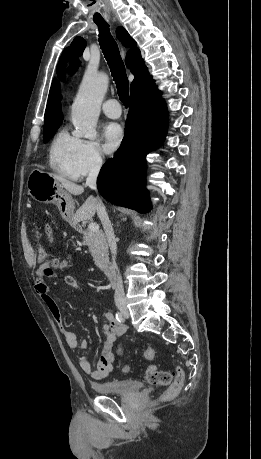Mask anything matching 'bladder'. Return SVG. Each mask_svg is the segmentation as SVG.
Wrapping results in <instances>:
<instances>
[{
	"label": "bladder",
	"mask_w": 261,
	"mask_h": 459,
	"mask_svg": "<svg viewBox=\"0 0 261 459\" xmlns=\"http://www.w3.org/2000/svg\"><path fill=\"white\" fill-rule=\"evenodd\" d=\"M91 386L99 394L128 395L138 392L142 388V383L137 379H113L105 382H94Z\"/></svg>",
	"instance_id": "bladder-1"
}]
</instances>
